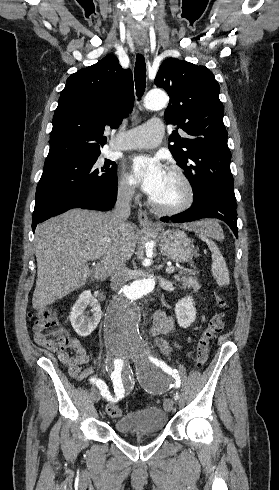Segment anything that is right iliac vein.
<instances>
[{
    "instance_id": "1",
    "label": "right iliac vein",
    "mask_w": 279,
    "mask_h": 490,
    "mask_svg": "<svg viewBox=\"0 0 279 490\" xmlns=\"http://www.w3.org/2000/svg\"><path fill=\"white\" fill-rule=\"evenodd\" d=\"M92 394H93V396H94V400H95L96 402H98V401H99V399H100L99 392H98L96 389H93Z\"/></svg>"
}]
</instances>
